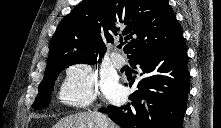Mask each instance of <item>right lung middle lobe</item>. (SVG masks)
<instances>
[{
  "instance_id": "1",
  "label": "right lung middle lobe",
  "mask_w": 221,
  "mask_h": 128,
  "mask_svg": "<svg viewBox=\"0 0 221 128\" xmlns=\"http://www.w3.org/2000/svg\"><path fill=\"white\" fill-rule=\"evenodd\" d=\"M96 62H97L96 59L82 60L79 58H73L70 60H64L56 64L47 65L44 78L39 86L38 95L32 107L34 109H41L49 104L51 90L53 89L54 82L57 79L58 74L61 73L62 70L67 68L69 65L77 63L94 64Z\"/></svg>"
}]
</instances>
